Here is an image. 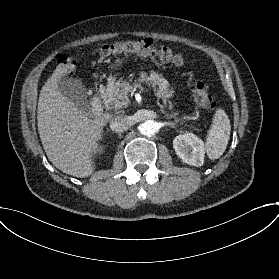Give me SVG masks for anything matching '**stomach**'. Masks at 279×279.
<instances>
[{
	"label": "stomach",
	"instance_id": "obj_1",
	"mask_svg": "<svg viewBox=\"0 0 279 279\" xmlns=\"http://www.w3.org/2000/svg\"><path fill=\"white\" fill-rule=\"evenodd\" d=\"M125 61H126V58H118V59H116L114 67L121 66V64L123 62H125Z\"/></svg>",
	"mask_w": 279,
	"mask_h": 279
}]
</instances>
